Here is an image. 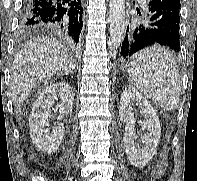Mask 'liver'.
<instances>
[{
  "instance_id": "6515ba94",
  "label": "liver",
  "mask_w": 197,
  "mask_h": 181,
  "mask_svg": "<svg viewBox=\"0 0 197 181\" xmlns=\"http://www.w3.org/2000/svg\"><path fill=\"white\" fill-rule=\"evenodd\" d=\"M75 68L66 47L55 39L38 37L23 44L13 61L10 80L11 98L19 116L21 105L37 83L68 75Z\"/></svg>"
}]
</instances>
